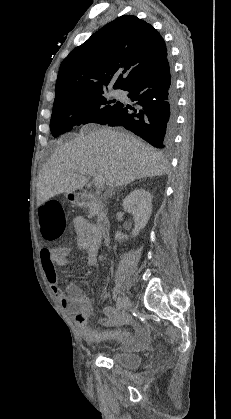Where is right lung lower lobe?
Wrapping results in <instances>:
<instances>
[{
  "instance_id": "right-lung-lower-lobe-1",
  "label": "right lung lower lobe",
  "mask_w": 231,
  "mask_h": 419,
  "mask_svg": "<svg viewBox=\"0 0 231 419\" xmlns=\"http://www.w3.org/2000/svg\"><path fill=\"white\" fill-rule=\"evenodd\" d=\"M123 90L135 101L134 106L121 103L100 124L122 125L159 149L173 141L176 125L177 95L171 79L168 59L132 81Z\"/></svg>"
}]
</instances>
